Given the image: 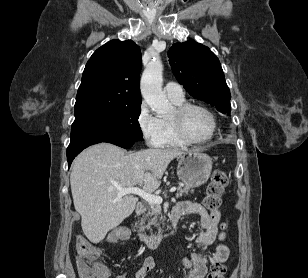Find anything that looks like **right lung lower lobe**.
<instances>
[{"instance_id": "obj_1", "label": "right lung lower lobe", "mask_w": 308, "mask_h": 278, "mask_svg": "<svg viewBox=\"0 0 308 278\" xmlns=\"http://www.w3.org/2000/svg\"><path fill=\"white\" fill-rule=\"evenodd\" d=\"M101 142H108L115 144L117 146H120L122 148L128 149L132 147L133 142L131 140L126 139H117V138H86V139H80L71 141L68 148H67V161H68V167H70L73 159L86 147L101 143Z\"/></svg>"}]
</instances>
